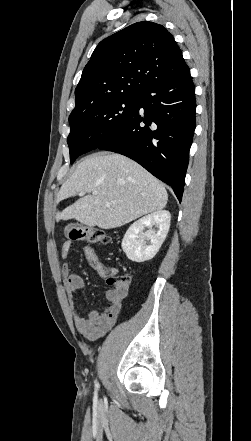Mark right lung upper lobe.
<instances>
[{"mask_svg":"<svg viewBox=\"0 0 251 441\" xmlns=\"http://www.w3.org/2000/svg\"><path fill=\"white\" fill-rule=\"evenodd\" d=\"M185 66L180 48L162 25L132 24L95 48L75 89L72 113L103 98L141 95Z\"/></svg>","mask_w":251,"mask_h":441,"instance_id":"cb5924a9","label":"right lung upper lobe"}]
</instances>
